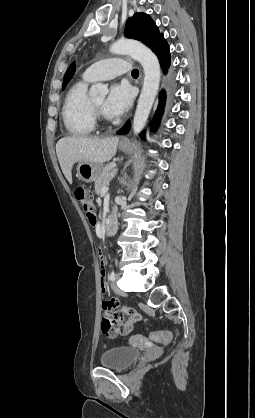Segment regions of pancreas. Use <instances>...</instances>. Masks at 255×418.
Segmentation results:
<instances>
[{
    "mask_svg": "<svg viewBox=\"0 0 255 418\" xmlns=\"http://www.w3.org/2000/svg\"><path fill=\"white\" fill-rule=\"evenodd\" d=\"M117 169L115 163L107 164L98 178L95 180V192L97 195H102V189L109 185L110 180L115 176Z\"/></svg>",
    "mask_w": 255,
    "mask_h": 418,
    "instance_id": "obj_1",
    "label": "pancreas"
}]
</instances>
